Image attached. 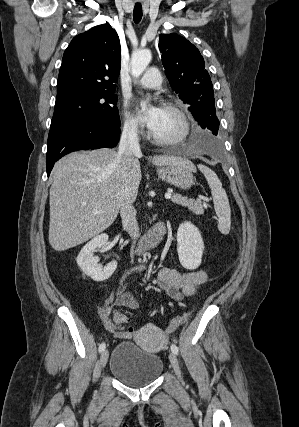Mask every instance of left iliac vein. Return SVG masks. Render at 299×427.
<instances>
[{
	"mask_svg": "<svg viewBox=\"0 0 299 427\" xmlns=\"http://www.w3.org/2000/svg\"><path fill=\"white\" fill-rule=\"evenodd\" d=\"M169 360H170V363H171V365H172V367H173V369H174L175 374L177 375V377H178L179 379H181V378H182V377H181V370H180V366H179V363H178V359H177V357H176L175 353L171 352V353L169 354Z\"/></svg>",
	"mask_w": 299,
	"mask_h": 427,
	"instance_id": "1",
	"label": "left iliac vein"
}]
</instances>
